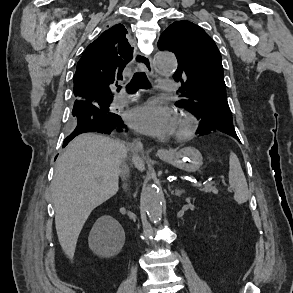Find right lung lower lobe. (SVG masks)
I'll return each mask as SVG.
<instances>
[{
	"label": "right lung lower lobe",
	"mask_w": 293,
	"mask_h": 293,
	"mask_svg": "<svg viewBox=\"0 0 293 293\" xmlns=\"http://www.w3.org/2000/svg\"><path fill=\"white\" fill-rule=\"evenodd\" d=\"M72 115L74 130L65 138L63 147L81 133H110L113 130L122 131V128H125L119 115L110 111H102L96 105L86 101L76 100Z\"/></svg>",
	"instance_id": "obj_1"
}]
</instances>
